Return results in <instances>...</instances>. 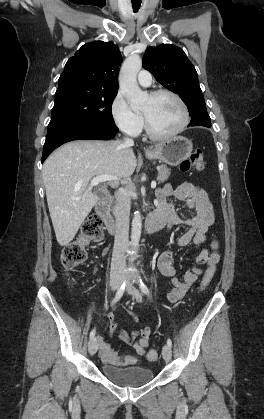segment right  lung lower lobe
Segmentation results:
<instances>
[{
	"label": "right lung lower lobe",
	"mask_w": 264,
	"mask_h": 419,
	"mask_svg": "<svg viewBox=\"0 0 264 419\" xmlns=\"http://www.w3.org/2000/svg\"><path fill=\"white\" fill-rule=\"evenodd\" d=\"M117 132L118 128L115 125L103 124H77L62 129L52 136L46 137L43 147L42 163L54 149L63 143L79 139L109 140Z\"/></svg>",
	"instance_id": "right-lung-lower-lobe-1"
}]
</instances>
